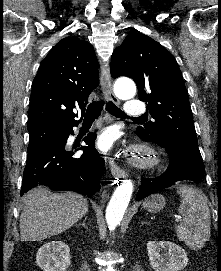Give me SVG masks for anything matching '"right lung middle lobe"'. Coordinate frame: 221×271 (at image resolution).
Here are the masks:
<instances>
[{
    "instance_id": "1",
    "label": "right lung middle lobe",
    "mask_w": 221,
    "mask_h": 271,
    "mask_svg": "<svg viewBox=\"0 0 221 271\" xmlns=\"http://www.w3.org/2000/svg\"><path fill=\"white\" fill-rule=\"evenodd\" d=\"M67 129L62 126H50L29 131L28 151L38 146L62 141Z\"/></svg>"
}]
</instances>
